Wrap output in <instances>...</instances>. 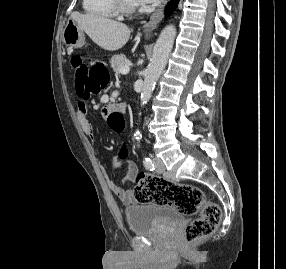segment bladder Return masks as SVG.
Here are the masks:
<instances>
[{"label": "bladder", "mask_w": 286, "mask_h": 269, "mask_svg": "<svg viewBox=\"0 0 286 269\" xmlns=\"http://www.w3.org/2000/svg\"><path fill=\"white\" fill-rule=\"evenodd\" d=\"M125 218L133 234L145 235L179 223L182 214L165 205L141 204L126 208Z\"/></svg>", "instance_id": "31cf9c89"}]
</instances>
